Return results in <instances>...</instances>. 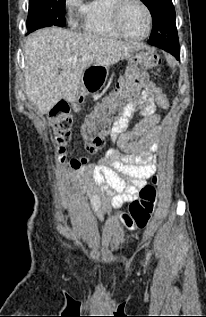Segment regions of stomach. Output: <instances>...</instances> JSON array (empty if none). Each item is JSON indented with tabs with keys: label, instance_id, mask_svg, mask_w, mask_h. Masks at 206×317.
I'll use <instances>...</instances> for the list:
<instances>
[{
	"label": "stomach",
	"instance_id": "1",
	"mask_svg": "<svg viewBox=\"0 0 206 317\" xmlns=\"http://www.w3.org/2000/svg\"><path fill=\"white\" fill-rule=\"evenodd\" d=\"M140 57H151V55L147 52L131 54L128 57L129 63H124L123 69L137 68L140 65ZM80 77L82 81L79 82V87L82 94H107L116 87L118 73L115 72V68H109L108 65L91 63L90 67L81 72ZM82 101L83 97L80 98V102Z\"/></svg>",
	"mask_w": 206,
	"mask_h": 317
}]
</instances>
